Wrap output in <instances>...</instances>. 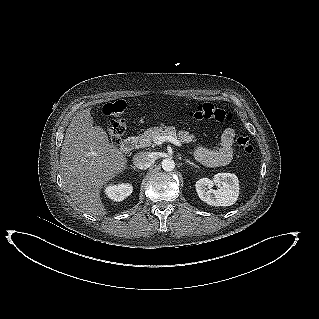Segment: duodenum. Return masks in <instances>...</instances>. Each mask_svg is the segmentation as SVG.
Listing matches in <instances>:
<instances>
[{"instance_id":"1","label":"duodenum","mask_w":319,"mask_h":319,"mask_svg":"<svg viewBox=\"0 0 319 319\" xmlns=\"http://www.w3.org/2000/svg\"><path fill=\"white\" fill-rule=\"evenodd\" d=\"M135 145L134 137H127L120 145V150L122 153L127 154L130 153Z\"/></svg>"}]
</instances>
